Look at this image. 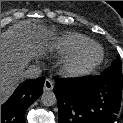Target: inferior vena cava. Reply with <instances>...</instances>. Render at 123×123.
<instances>
[{"mask_svg": "<svg viewBox=\"0 0 123 123\" xmlns=\"http://www.w3.org/2000/svg\"><path fill=\"white\" fill-rule=\"evenodd\" d=\"M41 73L42 70L38 65H31L23 72L22 76L26 79H35L38 78Z\"/></svg>", "mask_w": 123, "mask_h": 123, "instance_id": "inferior-vena-cava-1", "label": "inferior vena cava"}]
</instances>
